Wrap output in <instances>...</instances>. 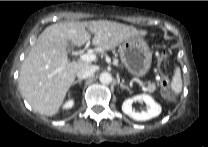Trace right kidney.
Masks as SVG:
<instances>
[{
    "mask_svg": "<svg viewBox=\"0 0 208 147\" xmlns=\"http://www.w3.org/2000/svg\"><path fill=\"white\" fill-rule=\"evenodd\" d=\"M73 106V101H68L66 104H65V107L67 108H71Z\"/></svg>",
    "mask_w": 208,
    "mask_h": 147,
    "instance_id": "1",
    "label": "right kidney"
}]
</instances>
